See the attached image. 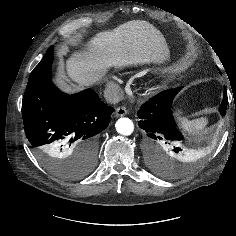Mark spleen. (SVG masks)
<instances>
[{"label": "spleen", "mask_w": 236, "mask_h": 236, "mask_svg": "<svg viewBox=\"0 0 236 236\" xmlns=\"http://www.w3.org/2000/svg\"><path fill=\"white\" fill-rule=\"evenodd\" d=\"M182 131L190 136H200L207 132L206 125L208 119L206 117L197 118L191 121L181 120L179 122Z\"/></svg>", "instance_id": "3e777b00"}]
</instances>
